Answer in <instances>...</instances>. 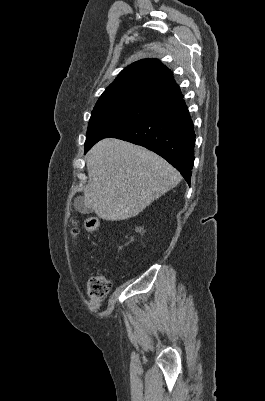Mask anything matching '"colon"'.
Instances as JSON below:
<instances>
[{"mask_svg": "<svg viewBox=\"0 0 265 401\" xmlns=\"http://www.w3.org/2000/svg\"><path fill=\"white\" fill-rule=\"evenodd\" d=\"M99 228V220L95 216H90L85 219V229L88 232H96ZM70 234L74 241L79 235V228L76 224L70 229ZM112 284L111 281L104 275H93L87 284V294L89 302L92 306L97 307L109 294Z\"/></svg>", "mask_w": 265, "mask_h": 401, "instance_id": "obj_1", "label": "colon"}]
</instances>
